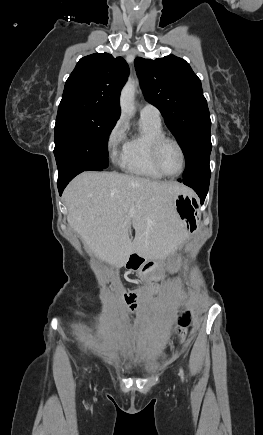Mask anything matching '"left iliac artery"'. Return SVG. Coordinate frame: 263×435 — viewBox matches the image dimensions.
I'll use <instances>...</instances> for the list:
<instances>
[{
	"instance_id": "1",
	"label": "left iliac artery",
	"mask_w": 263,
	"mask_h": 435,
	"mask_svg": "<svg viewBox=\"0 0 263 435\" xmlns=\"http://www.w3.org/2000/svg\"><path fill=\"white\" fill-rule=\"evenodd\" d=\"M180 376H181V379L183 380L184 379V372H183V369L182 368H180Z\"/></svg>"
}]
</instances>
